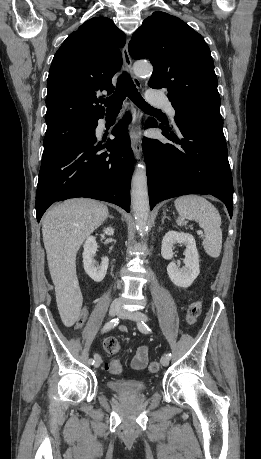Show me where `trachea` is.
<instances>
[{
    "label": "trachea",
    "mask_w": 261,
    "mask_h": 459,
    "mask_svg": "<svg viewBox=\"0 0 261 459\" xmlns=\"http://www.w3.org/2000/svg\"><path fill=\"white\" fill-rule=\"evenodd\" d=\"M128 96L139 108L146 111H157L151 107L138 92L130 76L123 72L118 77L117 88L112 96L103 100L108 111L120 110L124 99Z\"/></svg>",
    "instance_id": "obj_1"
}]
</instances>
